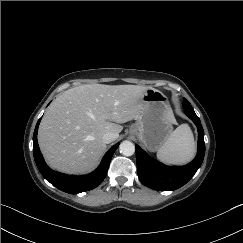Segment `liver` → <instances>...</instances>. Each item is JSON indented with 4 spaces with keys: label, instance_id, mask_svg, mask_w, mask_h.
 Returning a JSON list of instances; mask_svg holds the SVG:
<instances>
[{
    "label": "liver",
    "instance_id": "1",
    "mask_svg": "<svg viewBox=\"0 0 243 243\" xmlns=\"http://www.w3.org/2000/svg\"><path fill=\"white\" fill-rule=\"evenodd\" d=\"M149 87L85 84L66 90L43 116L38 143L50 167L70 174L93 170L106 150L102 136L116 139L125 123L139 115Z\"/></svg>",
    "mask_w": 243,
    "mask_h": 243
}]
</instances>
